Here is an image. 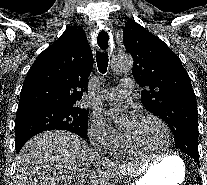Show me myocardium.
Here are the masks:
<instances>
[{"mask_svg": "<svg viewBox=\"0 0 207 185\" xmlns=\"http://www.w3.org/2000/svg\"><path fill=\"white\" fill-rule=\"evenodd\" d=\"M139 119L153 120L161 125V127L163 128V131L165 133L166 140H167L166 147L162 152H159V153H147V152L138 151L131 146L128 137L126 136L125 133H123L122 134V144H123L125 151L131 156L142 157V158H162V157L167 156L170 152V149H171V146L173 143L172 133H171V130H170L168 124L162 118H160L156 115H143Z\"/></svg>", "mask_w": 207, "mask_h": 185, "instance_id": "f54148a6", "label": "myocardium"}]
</instances>
